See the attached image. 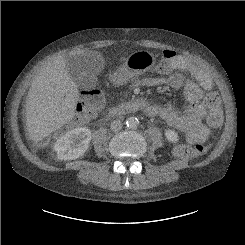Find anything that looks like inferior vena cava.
Wrapping results in <instances>:
<instances>
[{"mask_svg":"<svg viewBox=\"0 0 245 245\" xmlns=\"http://www.w3.org/2000/svg\"><path fill=\"white\" fill-rule=\"evenodd\" d=\"M110 128L112 131L118 132L122 128V122L120 120H114L113 122H111Z\"/></svg>","mask_w":245,"mask_h":245,"instance_id":"obj_1","label":"inferior vena cava"}]
</instances>
